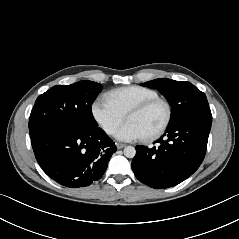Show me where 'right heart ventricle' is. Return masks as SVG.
<instances>
[{
	"label": "right heart ventricle",
	"mask_w": 239,
	"mask_h": 239,
	"mask_svg": "<svg viewBox=\"0 0 239 239\" xmlns=\"http://www.w3.org/2000/svg\"><path fill=\"white\" fill-rule=\"evenodd\" d=\"M105 97L126 115L136 105L158 97V93L147 87L132 85L111 90Z\"/></svg>",
	"instance_id": "1"
}]
</instances>
